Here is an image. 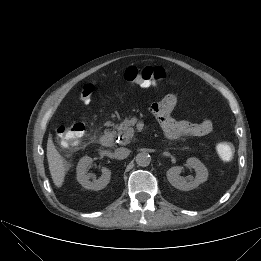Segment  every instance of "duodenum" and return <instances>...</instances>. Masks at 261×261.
Masks as SVG:
<instances>
[{
	"label": "duodenum",
	"mask_w": 261,
	"mask_h": 261,
	"mask_svg": "<svg viewBox=\"0 0 261 261\" xmlns=\"http://www.w3.org/2000/svg\"><path fill=\"white\" fill-rule=\"evenodd\" d=\"M100 143L104 147H111L114 143V135L111 132H105L100 138Z\"/></svg>",
	"instance_id": "1"
}]
</instances>
